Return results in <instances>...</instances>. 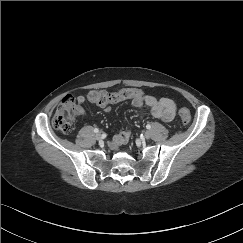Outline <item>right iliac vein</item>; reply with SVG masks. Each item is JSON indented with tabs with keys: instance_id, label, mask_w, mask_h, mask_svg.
Here are the masks:
<instances>
[{
	"instance_id": "right-iliac-vein-1",
	"label": "right iliac vein",
	"mask_w": 243,
	"mask_h": 243,
	"mask_svg": "<svg viewBox=\"0 0 243 243\" xmlns=\"http://www.w3.org/2000/svg\"><path fill=\"white\" fill-rule=\"evenodd\" d=\"M95 138H96L97 140H100V139H101V134H100V133H97L96 136H95Z\"/></svg>"
}]
</instances>
